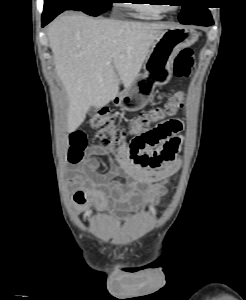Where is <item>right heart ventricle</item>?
Wrapping results in <instances>:
<instances>
[{
  "instance_id": "e07e8e85",
  "label": "right heart ventricle",
  "mask_w": 246,
  "mask_h": 300,
  "mask_svg": "<svg viewBox=\"0 0 246 300\" xmlns=\"http://www.w3.org/2000/svg\"><path fill=\"white\" fill-rule=\"evenodd\" d=\"M145 3L132 4L129 9L132 15L143 20H160L164 9L155 4V0H143Z\"/></svg>"
}]
</instances>
